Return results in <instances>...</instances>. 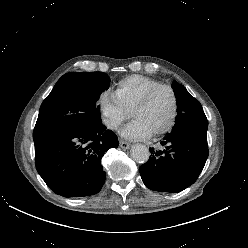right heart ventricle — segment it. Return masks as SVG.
Segmentation results:
<instances>
[{
	"label": "right heart ventricle",
	"instance_id": "right-heart-ventricle-1",
	"mask_svg": "<svg viewBox=\"0 0 248 248\" xmlns=\"http://www.w3.org/2000/svg\"><path fill=\"white\" fill-rule=\"evenodd\" d=\"M161 83L155 79L142 76L130 75L121 79L114 91L121 105L130 111L132 106L151 88Z\"/></svg>",
	"mask_w": 248,
	"mask_h": 248
}]
</instances>
